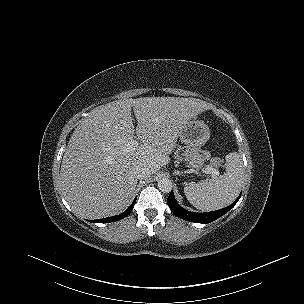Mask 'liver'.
Returning <instances> with one entry per match:
<instances>
[{"label": "liver", "mask_w": 304, "mask_h": 304, "mask_svg": "<svg viewBox=\"0 0 304 304\" xmlns=\"http://www.w3.org/2000/svg\"><path fill=\"white\" fill-rule=\"evenodd\" d=\"M206 108L204 101L179 97L121 99L95 108L73 131L62 159L61 188L72 210L90 219L124 211L138 182L135 170L154 174L166 165L182 128ZM135 138L141 144L128 148Z\"/></svg>", "instance_id": "obj_1"}]
</instances>
